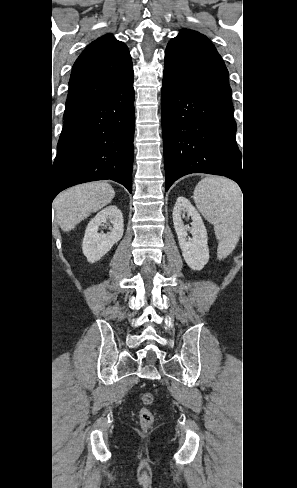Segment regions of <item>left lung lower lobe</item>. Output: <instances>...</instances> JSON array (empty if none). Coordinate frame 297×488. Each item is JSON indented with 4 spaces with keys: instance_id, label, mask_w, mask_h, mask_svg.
<instances>
[{
    "instance_id": "1",
    "label": "left lung lower lobe",
    "mask_w": 297,
    "mask_h": 488,
    "mask_svg": "<svg viewBox=\"0 0 297 488\" xmlns=\"http://www.w3.org/2000/svg\"><path fill=\"white\" fill-rule=\"evenodd\" d=\"M161 94L166 191L184 175L207 173L234 180L244 193L234 111L165 71Z\"/></svg>"
}]
</instances>
